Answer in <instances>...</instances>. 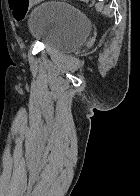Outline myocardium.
Returning a JSON list of instances; mask_svg holds the SVG:
<instances>
[{
    "mask_svg": "<svg viewBox=\"0 0 140 196\" xmlns=\"http://www.w3.org/2000/svg\"><path fill=\"white\" fill-rule=\"evenodd\" d=\"M35 192H67V191H35Z\"/></svg>",
    "mask_w": 140,
    "mask_h": 196,
    "instance_id": "1",
    "label": "myocardium"
}]
</instances>
